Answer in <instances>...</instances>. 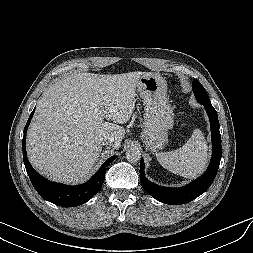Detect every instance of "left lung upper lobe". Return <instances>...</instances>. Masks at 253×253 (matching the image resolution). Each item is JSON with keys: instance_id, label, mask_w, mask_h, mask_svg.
Masks as SVG:
<instances>
[{"instance_id": "5c2ea615", "label": "left lung upper lobe", "mask_w": 253, "mask_h": 253, "mask_svg": "<svg viewBox=\"0 0 253 253\" xmlns=\"http://www.w3.org/2000/svg\"><path fill=\"white\" fill-rule=\"evenodd\" d=\"M192 88L195 94L196 99L201 103H211L208 95L206 93V90L201 85V83L198 80H193Z\"/></svg>"}]
</instances>
